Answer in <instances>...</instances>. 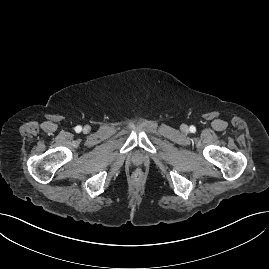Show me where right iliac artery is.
<instances>
[{"label":"right iliac artery","mask_w":269,"mask_h":269,"mask_svg":"<svg viewBox=\"0 0 269 269\" xmlns=\"http://www.w3.org/2000/svg\"><path fill=\"white\" fill-rule=\"evenodd\" d=\"M81 130H82V127H81V126H76V127H75V131H76L77 133L81 132Z\"/></svg>","instance_id":"1"}]
</instances>
